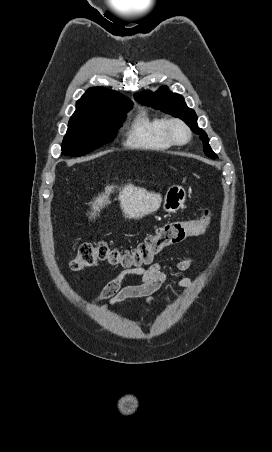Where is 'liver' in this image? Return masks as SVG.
Wrapping results in <instances>:
<instances>
[{"mask_svg": "<svg viewBox=\"0 0 272 452\" xmlns=\"http://www.w3.org/2000/svg\"><path fill=\"white\" fill-rule=\"evenodd\" d=\"M114 188L115 186H106L105 192L90 203L92 205L91 217L95 218L99 215L100 210L108 205L109 195L113 192ZM119 190L120 207L125 218L139 219L156 212L162 202L161 194L149 192L144 188L136 187L132 184H127Z\"/></svg>", "mask_w": 272, "mask_h": 452, "instance_id": "6515ba94", "label": "liver"}]
</instances>
